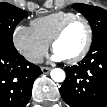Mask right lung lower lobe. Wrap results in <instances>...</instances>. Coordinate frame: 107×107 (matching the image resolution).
Wrapping results in <instances>:
<instances>
[{
    "mask_svg": "<svg viewBox=\"0 0 107 107\" xmlns=\"http://www.w3.org/2000/svg\"><path fill=\"white\" fill-rule=\"evenodd\" d=\"M40 68L19 53L0 49V107H25Z\"/></svg>",
    "mask_w": 107,
    "mask_h": 107,
    "instance_id": "1",
    "label": "right lung lower lobe"
}]
</instances>
